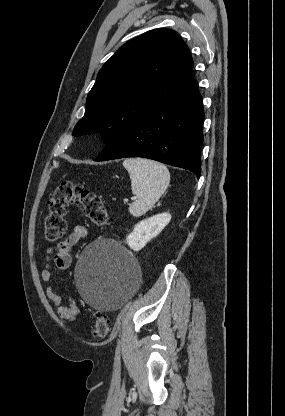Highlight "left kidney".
I'll return each mask as SVG.
<instances>
[{
    "instance_id": "5707ae66",
    "label": "left kidney",
    "mask_w": 285,
    "mask_h": 416,
    "mask_svg": "<svg viewBox=\"0 0 285 416\" xmlns=\"http://www.w3.org/2000/svg\"><path fill=\"white\" fill-rule=\"evenodd\" d=\"M171 220V214L164 212V214H157V216H152L148 220H142L139 224L134 226L133 232L129 234L126 238V242L134 252H139L147 242H150L152 238H156L165 226L169 224Z\"/></svg>"
}]
</instances>
